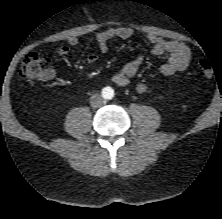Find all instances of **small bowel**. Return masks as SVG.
Masks as SVG:
<instances>
[{
	"instance_id": "obj_1",
	"label": "small bowel",
	"mask_w": 222,
	"mask_h": 219,
	"mask_svg": "<svg viewBox=\"0 0 222 219\" xmlns=\"http://www.w3.org/2000/svg\"><path fill=\"white\" fill-rule=\"evenodd\" d=\"M133 36V31L127 27H114L99 31L94 34V41L98 45L99 51L104 53L108 49V44L113 39L126 40ZM148 43L151 45V51L155 56L167 55V60L161 65L160 71L165 76L173 75L177 72L185 70L192 58L190 49L182 42L175 40H165L154 33H149L146 37ZM78 44L76 37H69L67 44L62 45L58 49L60 56H65L70 52V49ZM98 61L96 53H89L86 57L88 65H94ZM143 63V57L138 56L133 60L125 63L112 76V81L120 86H127L134 78L139 68ZM54 71L52 70V79ZM139 93H147L150 91V86L146 83H139L137 85Z\"/></svg>"
}]
</instances>
